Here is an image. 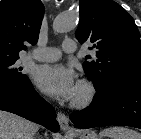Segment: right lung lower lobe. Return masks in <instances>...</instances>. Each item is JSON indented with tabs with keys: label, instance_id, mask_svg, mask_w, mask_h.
Listing matches in <instances>:
<instances>
[{
	"label": "right lung lower lobe",
	"instance_id": "right-lung-lower-lobe-1",
	"mask_svg": "<svg viewBox=\"0 0 141 139\" xmlns=\"http://www.w3.org/2000/svg\"><path fill=\"white\" fill-rule=\"evenodd\" d=\"M0 110L17 114L53 132L60 129L54 108L36 92L29 80L17 85H0Z\"/></svg>",
	"mask_w": 141,
	"mask_h": 139
}]
</instances>
